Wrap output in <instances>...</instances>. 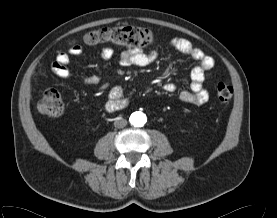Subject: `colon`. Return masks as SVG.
Here are the masks:
<instances>
[{
  "label": "colon",
  "mask_w": 277,
  "mask_h": 218,
  "mask_svg": "<svg viewBox=\"0 0 277 218\" xmlns=\"http://www.w3.org/2000/svg\"><path fill=\"white\" fill-rule=\"evenodd\" d=\"M154 41L150 30L138 26H120L91 31L84 36V42L89 45L111 43L135 49L150 46ZM217 96L220 101L228 102L233 97V87L220 82L216 85ZM38 110L46 115L57 116L63 111V102L56 89L49 88L44 91L37 105Z\"/></svg>",
  "instance_id": "1"
}]
</instances>
